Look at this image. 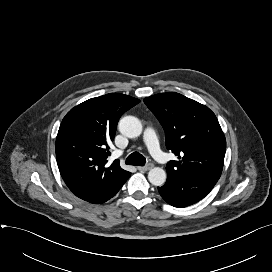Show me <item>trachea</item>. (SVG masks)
<instances>
[{"instance_id":"obj_1","label":"trachea","mask_w":272,"mask_h":272,"mask_svg":"<svg viewBox=\"0 0 272 272\" xmlns=\"http://www.w3.org/2000/svg\"><path fill=\"white\" fill-rule=\"evenodd\" d=\"M145 163H146L145 157L139 152L131 153L126 159V164L128 165L144 166Z\"/></svg>"}]
</instances>
